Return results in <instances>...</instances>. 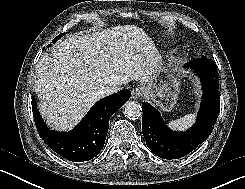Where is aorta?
Returning <instances> with one entry per match:
<instances>
[{"mask_svg": "<svg viewBox=\"0 0 245 189\" xmlns=\"http://www.w3.org/2000/svg\"><path fill=\"white\" fill-rule=\"evenodd\" d=\"M124 114L127 118L136 120L142 115V108L137 102L129 101L124 107Z\"/></svg>", "mask_w": 245, "mask_h": 189, "instance_id": "1", "label": "aorta"}]
</instances>
